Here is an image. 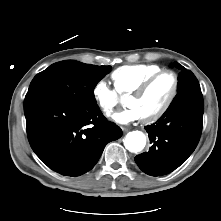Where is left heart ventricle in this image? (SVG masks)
I'll list each match as a JSON object with an SVG mask.
<instances>
[{"label": "left heart ventricle", "mask_w": 221, "mask_h": 221, "mask_svg": "<svg viewBox=\"0 0 221 221\" xmlns=\"http://www.w3.org/2000/svg\"><path fill=\"white\" fill-rule=\"evenodd\" d=\"M173 86V78L169 73L161 75L140 97L130 96L127 106L135 108L141 118L148 117L159 110L168 99Z\"/></svg>", "instance_id": "1"}]
</instances>
